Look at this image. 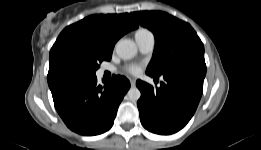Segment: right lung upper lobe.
I'll return each instance as SVG.
<instances>
[{"instance_id":"1","label":"right lung upper lobe","mask_w":261,"mask_h":150,"mask_svg":"<svg viewBox=\"0 0 261 150\" xmlns=\"http://www.w3.org/2000/svg\"><path fill=\"white\" fill-rule=\"evenodd\" d=\"M137 27L138 24L128 13L91 15L66 27L60 33L50 51V66L47 77L50 89L66 81L59 75L55 65L56 52L66 43L76 39H84L100 49L112 53L117 40Z\"/></svg>"}]
</instances>
